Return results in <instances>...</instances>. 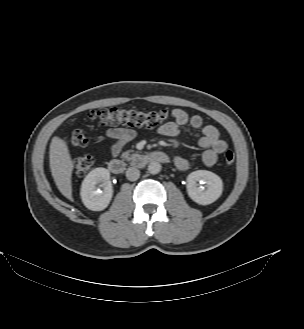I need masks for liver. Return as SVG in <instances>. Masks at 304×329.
<instances>
[{"mask_svg": "<svg viewBox=\"0 0 304 329\" xmlns=\"http://www.w3.org/2000/svg\"><path fill=\"white\" fill-rule=\"evenodd\" d=\"M49 163L58 190L67 199L73 201L71 176L74 166L66 142L57 136L51 140Z\"/></svg>", "mask_w": 304, "mask_h": 329, "instance_id": "liver-1", "label": "liver"}]
</instances>
